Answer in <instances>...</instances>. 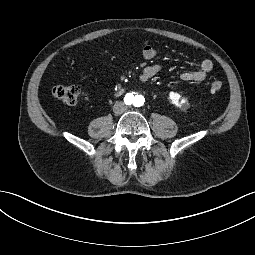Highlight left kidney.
Returning <instances> with one entry per match:
<instances>
[{"mask_svg": "<svg viewBox=\"0 0 255 255\" xmlns=\"http://www.w3.org/2000/svg\"><path fill=\"white\" fill-rule=\"evenodd\" d=\"M170 97H171V100H172L175 104L178 105V103H177L176 100L179 99L180 96H179L178 94L171 93ZM181 106H182V107L185 106V101H184V100H182Z\"/></svg>", "mask_w": 255, "mask_h": 255, "instance_id": "left-kidney-1", "label": "left kidney"}]
</instances>
